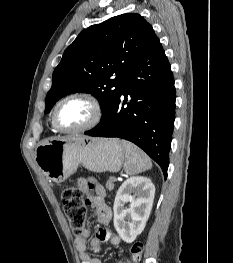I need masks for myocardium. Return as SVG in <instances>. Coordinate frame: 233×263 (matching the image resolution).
<instances>
[{
    "mask_svg": "<svg viewBox=\"0 0 233 263\" xmlns=\"http://www.w3.org/2000/svg\"><path fill=\"white\" fill-rule=\"evenodd\" d=\"M72 99H81V100L86 101L92 108V111H93L92 117L90 118V120L86 124H84L83 126L77 128V129H63L58 125L57 113H58L60 106L64 102H66L68 100H72ZM102 115H103L102 105L95 96H93L89 93H83V92L72 93V94H69V95L65 96L64 98H62L56 104V106L53 110V114H52V124L61 133L76 134V133L87 131V130L95 127L100 122Z\"/></svg>",
    "mask_w": 233,
    "mask_h": 263,
    "instance_id": "myocardium-1",
    "label": "myocardium"
}]
</instances>
